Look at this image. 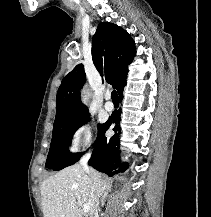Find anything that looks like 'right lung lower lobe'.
<instances>
[{
    "mask_svg": "<svg viewBox=\"0 0 211 217\" xmlns=\"http://www.w3.org/2000/svg\"><path fill=\"white\" fill-rule=\"evenodd\" d=\"M123 90L119 92L120 99L123 98ZM120 111L114 112L109 120L104 124L103 132L100 140L95 145L92 152V156L88 162L90 166L96 170L106 173L109 176H113L116 173L124 172L128 165L127 163H120L119 161V135L118 131L120 126L117 124L119 121ZM115 124L113 130L115 135L111 138H106L104 136L105 131L112 125Z\"/></svg>",
    "mask_w": 211,
    "mask_h": 217,
    "instance_id": "obj_1",
    "label": "right lung lower lobe"
}]
</instances>
